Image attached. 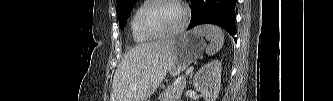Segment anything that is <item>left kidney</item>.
<instances>
[{
    "mask_svg": "<svg viewBox=\"0 0 333 101\" xmlns=\"http://www.w3.org/2000/svg\"><path fill=\"white\" fill-rule=\"evenodd\" d=\"M221 67V62L214 60L205 64L194 75V88L202 93L205 101H215L219 95L221 87Z\"/></svg>",
    "mask_w": 333,
    "mask_h": 101,
    "instance_id": "1",
    "label": "left kidney"
}]
</instances>
